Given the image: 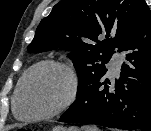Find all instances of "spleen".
I'll list each match as a JSON object with an SVG mask.
<instances>
[{
  "label": "spleen",
  "instance_id": "3e777b00",
  "mask_svg": "<svg viewBox=\"0 0 151 131\" xmlns=\"http://www.w3.org/2000/svg\"><path fill=\"white\" fill-rule=\"evenodd\" d=\"M83 131H100L99 128L96 126H83L82 127Z\"/></svg>",
  "mask_w": 151,
  "mask_h": 131
}]
</instances>
